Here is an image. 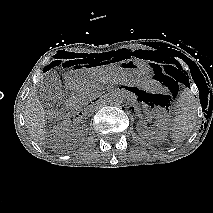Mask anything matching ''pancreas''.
<instances>
[{
  "label": "pancreas",
  "mask_w": 213,
  "mask_h": 213,
  "mask_svg": "<svg viewBox=\"0 0 213 213\" xmlns=\"http://www.w3.org/2000/svg\"><path fill=\"white\" fill-rule=\"evenodd\" d=\"M78 94L81 103L85 104L91 101L98 95L97 84L95 82H87L79 89Z\"/></svg>",
  "instance_id": "pancreas-1"
}]
</instances>
